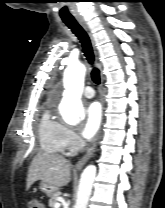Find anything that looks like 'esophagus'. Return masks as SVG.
Wrapping results in <instances>:
<instances>
[{"label": "esophagus", "mask_w": 165, "mask_h": 208, "mask_svg": "<svg viewBox=\"0 0 165 208\" xmlns=\"http://www.w3.org/2000/svg\"><path fill=\"white\" fill-rule=\"evenodd\" d=\"M78 23L85 30V32L87 33V35H88V37H89V39L91 41V44H92V47H93V50H94V54H95V62H96V65L101 70L102 64H101V61H100V58H99L98 51L96 49V45H95V40H94L93 34H92V32H91L88 24L84 20L78 19ZM103 81L104 80H103V77H102V79H101V86H103ZM101 101H102L103 106H105V102H104V98H103V93L102 92H101ZM100 135H101V132H99L97 134V136L93 140L92 144L88 147L86 153L77 162V164L75 166L76 169H81L87 163V161L93 156V154H94V152L96 150V147H97V144H98V140L100 138Z\"/></svg>", "instance_id": "1"}]
</instances>
